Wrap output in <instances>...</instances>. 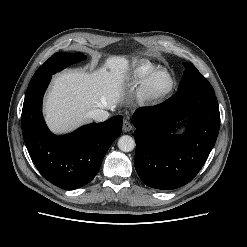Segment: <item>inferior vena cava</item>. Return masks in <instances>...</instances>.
<instances>
[{
    "label": "inferior vena cava",
    "mask_w": 247,
    "mask_h": 247,
    "mask_svg": "<svg viewBox=\"0 0 247 247\" xmlns=\"http://www.w3.org/2000/svg\"><path fill=\"white\" fill-rule=\"evenodd\" d=\"M89 117L93 118L97 122H102L108 119L109 113L103 109L96 108L89 112Z\"/></svg>",
    "instance_id": "602c4592"
}]
</instances>
